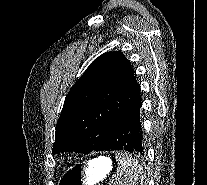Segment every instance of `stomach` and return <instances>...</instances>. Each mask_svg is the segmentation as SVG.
Here are the masks:
<instances>
[{
  "instance_id": "stomach-1",
  "label": "stomach",
  "mask_w": 207,
  "mask_h": 185,
  "mask_svg": "<svg viewBox=\"0 0 207 185\" xmlns=\"http://www.w3.org/2000/svg\"><path fill=\"white\" fill-rule=\"evenodd\" d=\"M111 169L110 158L103 156L94 158L69 169L60 179L59 185H95L103 180Z\"/></svg>"
}]
</instances>
